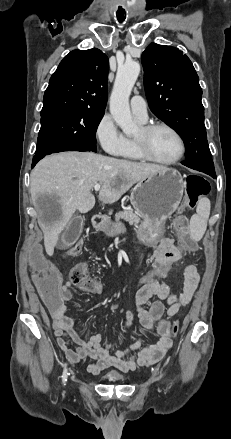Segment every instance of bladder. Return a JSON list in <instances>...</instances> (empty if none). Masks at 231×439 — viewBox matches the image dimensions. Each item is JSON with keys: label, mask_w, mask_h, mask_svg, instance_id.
Segmentation results:
<instances>
[{"label": "bladder", "mask_w": 231, "mask_h": 439, "mask_svg": "<svg viewBox=\"0 0 231 439\" xmlns=\"http://www.w3.org/2000/svg\"><path fill=\"white\" fill-rule=\"evenodd\" d=\"M104 379L108 382H122L125 380V377L122 373L116 370H110L106 372V374L104 375Z\"/></svg>", "instance_id": "obj_1"}]
</instances>
